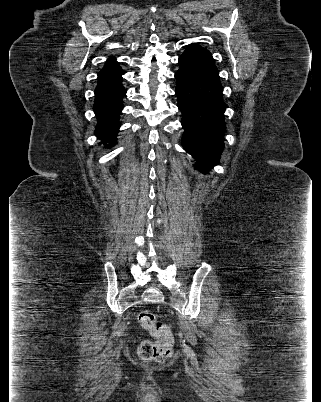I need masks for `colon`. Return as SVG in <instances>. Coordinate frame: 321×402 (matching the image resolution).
I'll return each mask as SVG.
<instances>
[{"mask_svg": "<svg viewBox=\"0 0 321 402\" xmlns=\"http://www.w3.org/2000/svg\"><path fill=\"white\" fill-rule=\"evenodd\" d=\"M139 326L149 332L156 341L144 340L138 348V355L144 361L164 362L172 355L173 338L167 326L160 324L151 311H141L137 316Z\"/></svg>", "mask_w": 321, "mask_h": 402, "instance_id": "colon-1", "label": "colon"}]
</instances>
